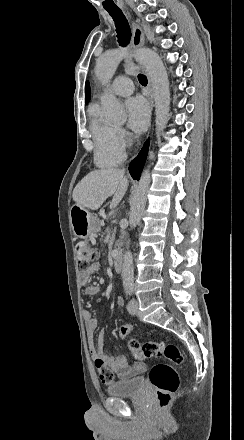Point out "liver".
I'll use <instances>...</instances> for the list:
<instances>
[{
  "instance_id": "1",
  "label": "liver",
  "mask_w": 244,
  "mask_h": 440,
  "mask_svg": "<svg viewBox=\"0 0 244 440\" xmlns=\"http://www.w3.org/2000/svg\"><path fill=\"white\" fill-rule=\"evenodd\" d=\"M127 188L128 180L124 170L101 168V170H94L87 174L75 186L72 198L82 208L98 210L109 196H113L110 204V210H113L124 198Z\"/></svg>"
}]
</instances>
